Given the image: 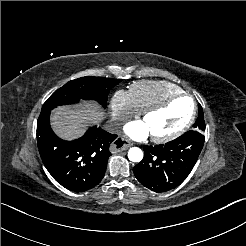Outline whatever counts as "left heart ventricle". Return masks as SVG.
Instances as JSON below:
<instances>
[{"instance_id":"left-heart-ventricle-1","label":"left heart ventricle","mask_w":246,"mask_h":246,"mask_svg":"<svg viewBox=\"0 0 246 246\" xmlns=\"http://www.w3.org/2000/svg\"><path fill=\"white\" fill-rule=\"evenodd\" d=\"M190 109V101L178 99L166 109L151 114L144 125L151 135H163L174 131L183 124Z\"/></svg>"}]
</instances>
